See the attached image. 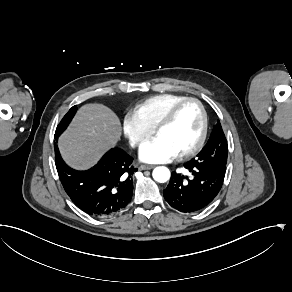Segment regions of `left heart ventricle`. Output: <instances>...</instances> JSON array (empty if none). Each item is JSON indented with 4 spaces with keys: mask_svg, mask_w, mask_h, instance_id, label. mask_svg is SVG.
<instances>
[{
    "mask_svg": "<svg viewBox=\"0 0 292 292\" xmlns=\"http://www.w3.org/2000/svg\"><path fill=\"white\" fill-rule=\"evenodd\" d=\"M200 125L199 108L195 103L189 102L182 105L174 119L159 129L157 134L170 140L181 152L195 143Z\"/></svg>",
    "mask_w": 292,
    "mask_h": 292,
    "instance_id": "left-heart-ventricle-1",
    "label": "left heart ventricle"
}]
</instances>
